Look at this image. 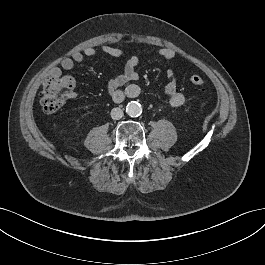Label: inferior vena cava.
<instances>
[{
  "label": "inferior vena cava",
  "instance_id": "1",
  "mask_svg": "<svg viewBox=\"0 0 265 265\" xmlns=\"http://www.w3.org/2000/svg\"><path fill=\"white\" fill-rule=\"evenodd\" d=\"M111 117L114 120H119L123 117V111L122 109L116 107L111 110Z\"/></svg>",
  "mask_w": 265,
  "mask_h": 265
}]
</instances>
